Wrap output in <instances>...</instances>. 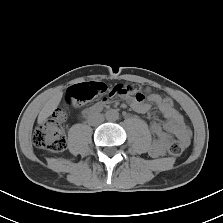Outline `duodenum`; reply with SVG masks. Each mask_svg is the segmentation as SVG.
<instances>
[{"label":"duodenum","mask_w":223,"mask_h":223,"mask_svg":"<svg viewBox=\"0 0 223 223\" xmlns=\"http://www.w3.org/2000/svg\"><path fill=\"white\" fill-rule=\"evenodd\" d=\"M95 112H97V110L91 108V109H89V110L87 111V114L89 115V114H93V113H95Z\"/></svg>","instance_id":"1"}]
</instances>
